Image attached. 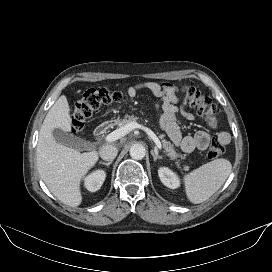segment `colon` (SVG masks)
<instances>
[{
    "mask_svg": "<svg viewBox=\"0 0 272 272\" xmlns=\"http://www.w3.org/2000/svg\"><path fill=\"white\" fill-rule=\"evenodd\" d=\"M183 102L202 117L211 120L219 113L217 105L207 96L191 86L182 88ZM122 94L117 90L105 87L88 89L79 99L75 101L73 110V127L79 130L84 122L98 109L120 100ZM224 153V146L218 140L211 141L208 148V156L211 159L220 157Z\"/></svg>",
    "mask_w": 272,
    "mask_h": 272,
    "instance_id": "obj_1",
    "label": "colon"
}]
</instances>
